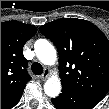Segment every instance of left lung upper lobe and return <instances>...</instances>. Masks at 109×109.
Segmentation results:
<instances>
[{"label":"left lung upper lobe","mask_w":109,"mask_h":109,"mask_svg":"<svg viewBox=\"0 0 109 109\" xmlns=\"http://www.w3.org/2000/svg\"><path fill=\"white\" fill-rule=\"evenodd\" d=\"M57 47L62 87L102 100L109 92V41L89 21L62 18L39 28Z\"/></svg>","instance_id":"left-lung-upper-lobe-1"}]
</instances>
